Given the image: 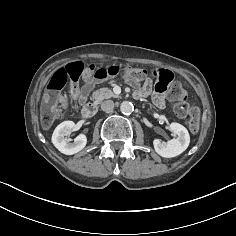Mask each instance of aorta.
<instances>
[{
    "mask_svg": "<svg viewBox=\"0 0 236 236\" xmlns=\"http://www.w3.org/2000/svg\"><path fill=\"white\" fill-rule=\"evenodd\" d=\"M120 110L123 114H130L134 110V106L131 102L123 101L120 105Z\"/></svg>",
    "mask_w": 236,
    "mask_h": 236,
    "instance_id": "1",
    "label": "aorta"
}]
</instances>
